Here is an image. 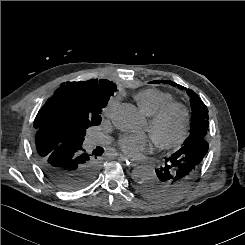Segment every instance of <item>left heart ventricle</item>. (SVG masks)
Segmentation results:
<instances>
[{
    "label": "left heart ventricle",
    "instance_id": "left-heart-ventricle-1",
    "mask_svg": "<svg viewBox=\"0 0 245 245\" xmlns=\"http://www.w3.org/2000/svg\"><path fill=\"white\" fill-rule=\"evenodd\" d=\"M182 129V114L179 111L170 113L151 133L154 140L167 142L176 139ZM149 132V123L147 126Z\"/></svg>",
    "mask_w": 245,
    "mask_h": 245
}]
</instances>
